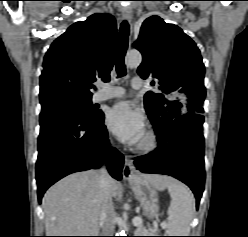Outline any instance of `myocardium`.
<instances>
[{
  "label": "myocardium",
  "mask_w": 248,
  "mask_h": 237,
  "mask_svg": "<svg viewBox=\"0 0 248 237\" xmlns=\"http://www.w3.org/2000/svg\"><path fill=\"white\" fill-rule=\"evenodd\" d=\"M159 145L157 134L153 130H149L141 142L137 145L136 150L142 154L154 152Z\"/></svg>",
  "instance_id": "myocardium-1"
}]
</instances>
